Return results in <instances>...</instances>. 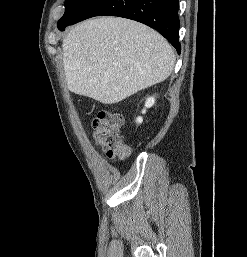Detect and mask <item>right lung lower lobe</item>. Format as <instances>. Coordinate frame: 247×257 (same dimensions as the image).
Masks as SVG:
<instances>
[{"label": "right lung lower lobe", "mask_w": 247, "mask_h": 257, "mask_svg": "<svg viewBox=\"0 0 247 257\" xmlns=\"http://www.w3.org/2000/svg\"><path fill=\"white\" fill-rule=\"evenodd\" d=\"M94 16H119L136 20L161 33L180 54L178 0H93L73 21L58 29Z\"/></svg>", "instance_id": "obj_1"}]
</instances>
